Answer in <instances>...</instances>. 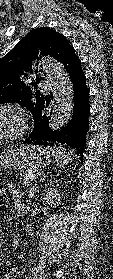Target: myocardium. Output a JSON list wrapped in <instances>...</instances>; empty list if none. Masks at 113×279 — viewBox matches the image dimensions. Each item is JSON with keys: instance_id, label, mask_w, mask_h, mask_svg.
<instances>
[{"instance_id": "f54148a6", "label": "myocardium", "mask_w": 113, "mask_h": 279, "mask_svg": "<svg viewBox=\"0 0 113 279\" xmlns=\"http://www.w3.org/2000/svg\"><path fill=\"white\" fill-rule=\"evenodd\" d=\"M2 112L14 113L18 118L19 126L16 131L0 136V142L2 143V142L18 140L22 138L28 129V119L24 109L18 104L3 103L0 105V113Z\"/></svg>"}]
</instances>
